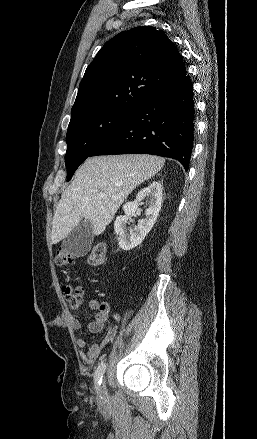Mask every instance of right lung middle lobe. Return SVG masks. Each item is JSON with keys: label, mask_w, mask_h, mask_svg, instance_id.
<instances>
[{"label": "right lung middle lobe", "mask_w": 257, "mask_h": 439, "mask_svg": "<svg viewBox=\"0 0 257 439\" xmlns=\"http://www.w3.org/2000/svg\"><path fill=\"white\" fill-rule=\"evenodd\" d=\"M134 111L103 109L71 118L66 135V168L69 181L96 146Z\"/></svg>", "instance_id": "1"}]
</instances>
